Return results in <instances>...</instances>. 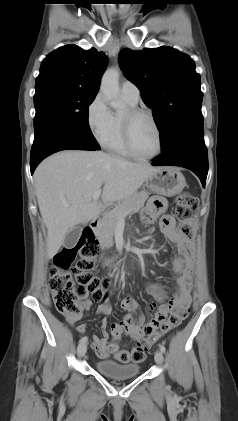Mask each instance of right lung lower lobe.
Instances as JSON below:
<instances>
[{
    "label": "right lung lower lobe",
    "mask_w": 238,
    "mask_h": 421,
    "mask_svg": "<svg viewBox=\"0 0 238 421\" xmlns=\"http://www.w3.org/2000/svg\"><path fill=\"white\" fill-rule=\"evenodd\" d=\"M99 148V145L85 140L66 126L55 121H47L35 132L30 158L31 174L43 159L55 152L68 149L97 150Z\"/></svg>",
    "instance_id": "right-lung-lower-lobe-1"
}]
</instances>
